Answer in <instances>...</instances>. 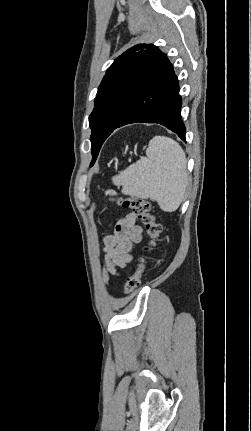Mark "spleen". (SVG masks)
Here are the masks:
<instances>
[{
    "mask_svg": "<svg viewBox=\"0 0 251 431\" xmlns=\"http://www.w3.org/2000/svg\"><path fill=\"white\" fill-rule=\"evenodd\" d=\"M146 155L113 176V184L122 186L121 192L125 195L156 201L166 212L177 210L188 182L184 150L169 137L155 136L149 142Z\"/></svg>",
    "mask_w": 251,
    "mask_h": 431,
    "instance_id": "3e777b00",
    "label": "spleen"
}]
</instances>
